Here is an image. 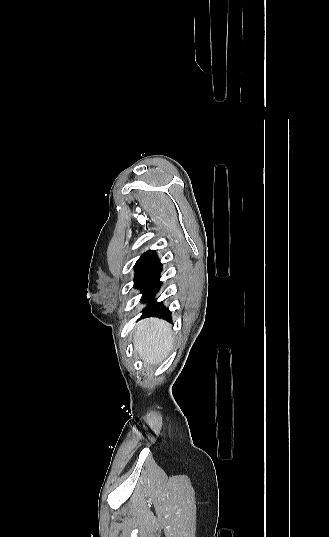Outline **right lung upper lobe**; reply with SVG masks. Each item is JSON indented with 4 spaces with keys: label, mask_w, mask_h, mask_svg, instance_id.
<instances>
[{
    "label": "right lung upper lobe",
    "mask_w": 329,
    "mask_h": 537,
    "mask_svg": "<svg viewBox=\"0 0 329 537\" xmlns=\"http://www.w3.org/2000/svg\"><path fill=\"white\" fill-rule=\"evenodd\" d=\"M159 260L157 253L154 250H149L142 254L137 260L136 265H150Z\"/></svg>",
    "instance_id": "obj_1"
}]
</instances>
